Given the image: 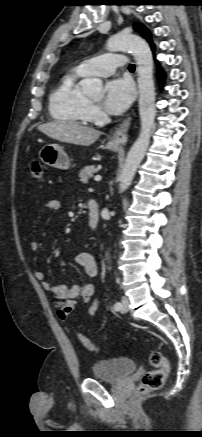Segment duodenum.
<instances>
[{"mask_svg":"<svg viewBox=\"0 0 202 437\" xmlns=\"http://www.w3.org/2000/svg\"><path fill=\"white\" fill-rule=\"evenodd\" d=\"M88 227L90 230H95L99 224V204L98 202L91 198L88 201Z\"/></svg>","mask_w":202,"mask_h":437,"instance_id":"obj_1","label":"duodenum"}]
</instances>
